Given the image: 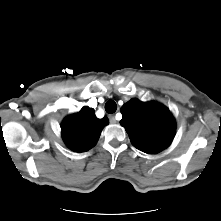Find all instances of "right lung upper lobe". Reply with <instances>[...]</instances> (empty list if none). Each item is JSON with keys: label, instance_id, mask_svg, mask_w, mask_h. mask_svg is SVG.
I'll list each match as a JSON object with an SVG mask.
<instances>
[{"label": "right lung upper lobe", "instance_id": "obj_1", "mask_svg": "<svg viewBox=\"0 0 221 221\" xmlns=\"http://www.w3.org/2000/svg\"><path fill=\"white\" fill-rule=\"evenodd\" d=\"M107 124V118L98 119L94 109L83 107L78 113L63 120L62 138L71 150L87 151L97 143L103 127Z\"/></svg>", "mask_w": 221, "mask_h": 221}]
</instances>
